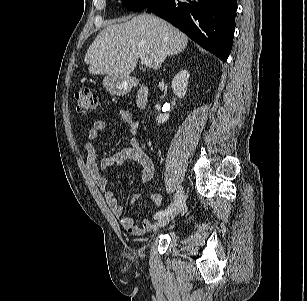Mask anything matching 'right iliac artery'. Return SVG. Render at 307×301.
<instances>
[{
	"mask_svg": "<svg viewBox=\"0 0 307 301\" xmlns=\"http://www.w3.org/2000/svg\"><path fill=\"white\" fill-rule=\"evenodd\" d=\"M182 196H183V188L181 186H178L176 196H175L173 203L167 209L157 212L154 215V219H160L163 216H165L166 214H168L169 211H171L177 205V203L182 198Z\"/></svg>",
	"mask_w": 307,
	"mask_h": 301,
	"instance_id": "82829eb1",
	"label": "right iliac artery"
}]
</instances>
